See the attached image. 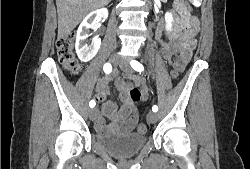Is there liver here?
<instances>
[{
  "label": "liver",
  "mask_w": 250,
  "mask_h": 169,
  "mask_svg": "<svg viewBox=\"0 0 250 169\" xmlns=\"http://www.w3.org/2000/svg\"><path fill=\"white\" fill-rule=\"evenodd\" d=\"M108 2L110 0H56L59 38L69 36L87 12Z\"/></svg>",
  "instance_id": "6515ba94"
}]
</instances>
